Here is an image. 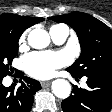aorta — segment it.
I'll return each mask as SVG.
<instances>
[{"label":"aorta","instance_id":"aorta-1","mask_svg":"<svg viewBox=\"0 0 112 112\" xmlns=\"http://www.w3.org/2000/svg\"><path fill=\"white\" fill-rule=\"evenodd\" d=\"M28 43L32 48L43 49L50 43L49 34L43 29H33L28 35ZM54 95L61 99H66L71 93V84L65 79H56L52 82Z\"/></svg>","mask_w":112,"mask_h":112}]
</instances>
